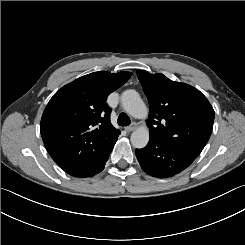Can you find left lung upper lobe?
Instances as JSON below:
<instances>
[{
	"instance_id": "obj_1",
	"label": "left lung upper lobe",
	"mask_w": 245,
	"mask_h": 245,
	"mask_svg": "<svg viewBox=\"0 0 245 245\" xmlns=\"http://www.w3.org/2000/svg\"><path fill=\"white\" fill-rule=\"evenodd\" d=\"M137 76L150 105V139L196 158L213 128L215 113L207 98L196 88L161 73L138 70Z\"/></svg>"
}]
</instances>
